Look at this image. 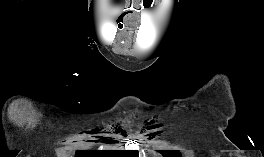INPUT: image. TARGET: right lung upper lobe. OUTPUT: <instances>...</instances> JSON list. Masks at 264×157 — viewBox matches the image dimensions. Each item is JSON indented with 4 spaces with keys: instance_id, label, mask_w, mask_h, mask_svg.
Listing matches in <instances>:
<instances>
[{
    "instance_id": "cb5924a9",
    "label": "right lung upper lobe",
    "mask_w": 264,
    "mask_h": 157,
    "mask_svg": "<svg viewBox=\"0 0 264 157\" xmlns=\"http://www.w3.org/2000/svg\"><path fill=\"white\" fill-rule=\"evenodd\" d=\"M83 156H96V157H138L137 151L131 150H108V151H93V152H80L77 151L75 157Z\"/></svg>"
}]
</instances>
